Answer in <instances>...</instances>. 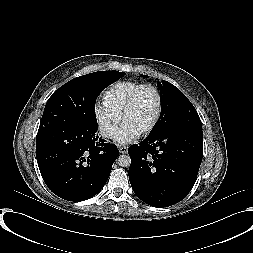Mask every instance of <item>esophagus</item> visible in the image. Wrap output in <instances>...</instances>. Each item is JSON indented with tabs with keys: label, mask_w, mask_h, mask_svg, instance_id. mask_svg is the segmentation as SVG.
Listing matches in <instances>:
<instances>
[{
	"label": "esophagus",
	"mask_w": 253,
	"mask_h": 253,
	"mask_svg": "<svg viewBox=\"0 0 253 253\" xmlns=\"http://www.w3.org/2000/svg\"><path fill=\"white\" fill-rule=\"evenodd\" d=\"M118 149H119V152L121 154H125V153H127L128 147L127 146H123V145H119Z\"/></svg>",
	"instance_id": "esophagus-1"
}]
</instances>
